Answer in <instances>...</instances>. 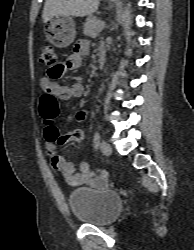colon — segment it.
Wrapping results in <instances>:
<instances>
[{"mask_svg":"<svg viewBox=\"0 0 194 250\" xmlns=\"http://www.w3.org/2000/svg\"><path fill=\"white\" fill-rule=\"evenodd\" d=\"M40 62L50 67V76L57 78L58 55L53 46L45 44L40 49ZM40 111L43 118L55 119L58 115V102L50 92L44 93L40 98ZM72 140L81 141L82 132L79 130L72 131L66 135Z\"/></svg>","mask_w":194,"mask_h":250,"instance_id":"1","label":"colon"}]
</instances>
